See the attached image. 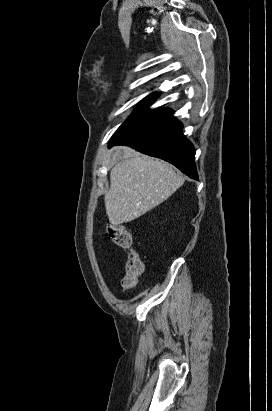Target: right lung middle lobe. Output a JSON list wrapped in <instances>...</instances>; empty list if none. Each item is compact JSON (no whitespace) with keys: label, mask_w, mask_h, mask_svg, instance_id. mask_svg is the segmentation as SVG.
Returning a JSON list of instances; mask_svg holds the SVG:
<instances>
[{"label":"right lung middle lobe","mask_w":272,"mask_h":411,"mask_svg":"<svg viewBox=\"0 0 272 411\" xmlns=\"http://www.w3.org/2000/svg\"><path fill=\"white\" fill-rule=\"evenodd\" d=\"M148 96L142 100L139 108L118 128L113 138L121 139L143 130L172 115L170 109L150 110L148 107L155 101Z\"/></svg>","instance_id":"dd1d6c3e"}]
</instances>
